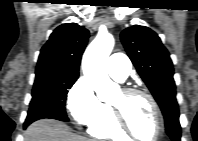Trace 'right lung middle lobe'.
I'll return each mask as SVG.
<instances>
[{"mask_svg": "<svg viewBox=\"0 0 198 141\" xmlns=\"http://www.w3.org/2000/svg\"><path fill=\"white\" fill-rule=\"evenodd\" d=\"M77 79L78 75H36L32 100L24 124L29 125L42 118L68 121L65 112V100L68 89L72 87Z\"/></svg>", "mask_w": 198, "mask_h": 141, "instance_id": "1", "label": "right lung middle lobe"}]
</instances>
